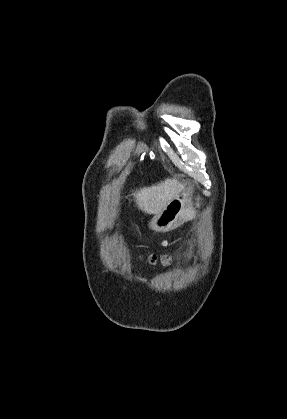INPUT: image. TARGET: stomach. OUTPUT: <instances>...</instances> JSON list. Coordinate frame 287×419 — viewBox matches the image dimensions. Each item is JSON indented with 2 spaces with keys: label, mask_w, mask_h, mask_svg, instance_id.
<instances>
[{
  "label": "stomach",
  "mask_w": 287,
  "mask_h": 419,
  "mask_svg": "<svg viewBox=\"0 0 287 419\" xmlns=\"http://www.w3.org/2000/svg\"><path fill=\"white\" fill-rule=\"evenodd\" d=\"M193 190L188 188L178 197L171 200L150 222L149 227L157 232L167 231L193 215L192 205Z\"/></svg>",
  "instance_id": "1"
}]
</instances>
